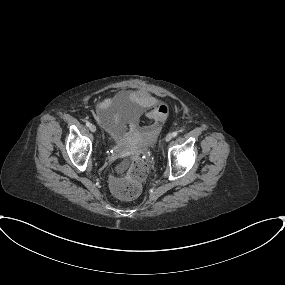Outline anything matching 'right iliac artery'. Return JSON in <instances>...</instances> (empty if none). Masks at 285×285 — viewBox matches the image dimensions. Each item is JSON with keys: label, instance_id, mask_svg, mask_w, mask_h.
<instances>
[{"label": "right iliac artery", "instance_id": "obj_1", "mask_svg": "<svg viewBox=\"0 0 285 285\" xmlns=\"http://www.w3.org/2000/svg\"><path fill=\"white\" fill-rule=\"evenodd\" d=\"M91 123L89 121L86 122V126L90 127Z\"/></svg>", "mask_w": 285, "mask_h": 285}]
</instances>
